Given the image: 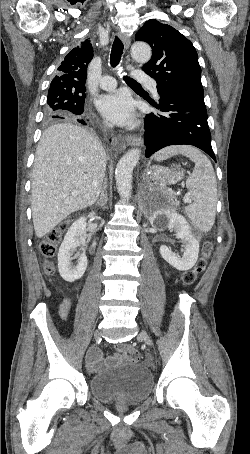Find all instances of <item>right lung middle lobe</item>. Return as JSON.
Wrapping results in <instances>:
<instances>
[{
	"label": "right lung middle lobe",
	"mask_w": 250,
	"mask_h": 454,
	"mask_svg": "<svg viewBox=\"0 0 250 454\" xmlns=\"http://www.w3.org/2000/svg\"><path fill=\"white\" fill-rule=\"evenodd\" d=\"M85 91V86L76 87L73 90L50 87L45 108V120L51 121L82 114Z\"/></svg>",
	"instance_id": "1"
}]
</instances>
